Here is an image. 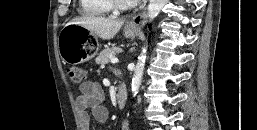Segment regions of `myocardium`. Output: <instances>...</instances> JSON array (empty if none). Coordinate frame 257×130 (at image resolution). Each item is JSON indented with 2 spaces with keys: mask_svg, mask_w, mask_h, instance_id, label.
Instances as JSON below:
<instances>
[{
  "mask_svg": "<svg viewBox=\"0 0 257 130\" xmlns=\"http://www.w3.org/2000/svg\"><path fill=\"white\" fill-rule=\"evenodd\" d=\"M106 1L112 10H117V11H127L136 6V3L134 2L127 3L122 0H106Z\"/></svg>",
  "mask_w": 257,
  "mask_h": 130,
  "instance_id": "f54148a6",
  "label": "myocardium"
}]
</instances>
